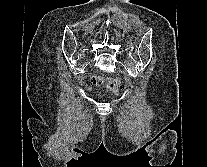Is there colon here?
I'll return each mask as SVG.
<instances>
[{
  "mask_svg": "<svg viewBox=\"0 0 207 167\" xmlns=\"http://www.w3.org/2000/svg\"><path fill=\"white\" fill-rule=\"evenodd\" d=\"M94 84L97 86H103L106 89L117 91L119 83L117 80L112 78H103L102 76H95L93 79Z\"/></svg>",
  "mask_w": 207,
  "mask_h": 167,
  "instance_id": "obj_1",
  "label": "colon"
}]
</instances>
